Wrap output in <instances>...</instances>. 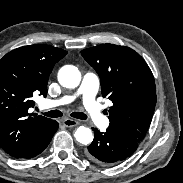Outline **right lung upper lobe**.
<instances>
[{"label":"right lung upper lobe","mask_w":183,"mask_h":183,"mask_svg":"<svg viewBox=\"0 0 183 183\" xmlns=\"http://www.w3.org/2000/svg\"><path fill=\"white\" fill-rule=\"evenodd\" d=\"M66 51L48 45L17 48L0 60V147L27 158L53 120L29 113L34 93L47 95L49 75Z\"/></svg>","instance_id":"obj_1"}]
</instances>
